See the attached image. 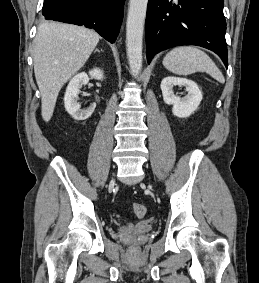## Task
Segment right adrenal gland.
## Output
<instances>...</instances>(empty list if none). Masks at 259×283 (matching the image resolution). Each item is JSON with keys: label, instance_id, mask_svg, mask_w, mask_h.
I'll list each match as a JSON object with an SVG mask.
<instances>
[{"label": "right adrenal gland", "instance_id": "right-adrenal-gland-1", "mask_svg": "<svg viewBox=\"0 0 259 283\" xmlns=\"http://www.w3.org/2000/svg\"><path fill=\"white\" fill-rule=\"evenodd\" d=\"M95 52H100L98 49H96V51ZM101 52H103V50H101Z\"/></svg>", "mask_w": 259, "mask_h": 283}]
</instances>
